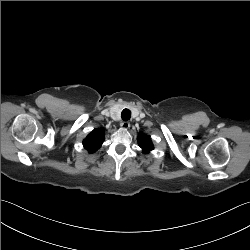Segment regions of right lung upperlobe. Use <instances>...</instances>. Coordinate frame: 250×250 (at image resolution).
<instances>
[{
    "label": "right lung upper lobe",
    "mask_w": 250,
    "mask_h": 250,
    "mask_svg": "<svg viewBox=\"0 0 250 250\" xmlns=\"http://www.w3.org/2000/svg\"><path fill=\"white\" fill-rule=\"evenodd\" d=\"M104 139V131L102 129H95L84 139L83 145L89 153H94L101 147Z\"/></svg>",
    "instance_id": "right-lung-upper-lobe-1"
}]
</instances>
